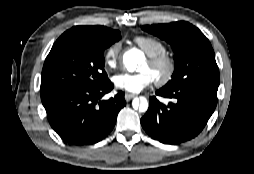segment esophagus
<instances>
[{
	"label": "esophagus",
	"mask_w": 254,
	"mask_h": 174,
	"mask_svg": "<svg viewBox=\"0 0 254 174\" xmlns=\"http://www.w3.org/2000/svg\"><path fill=\"white\" fill-rule=\"evenodd\" d=\"M135 97L134 94H130V93H126L125 94V100L128 102L130 101L131 99H133Z\"/></svg>",
	"instance_id": "esophagus-1"
}]
</instances>
